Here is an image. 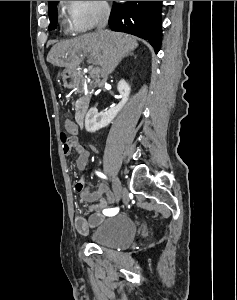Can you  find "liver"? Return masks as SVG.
Masks as SVG:
<instances>
[{"label":"liver","mask_w":237,"mask_h":300,"mask_svg":"<svg viewBox=\"0 0 237 300\" xmlns=\"http://www.w3.org/2000/svg\"><path fill=\"white\" fill-rule=\"evenodd\" d=\"M138 47L135 37L103 31L87 33L69 41L53 45L47 55L48 63L74 71L82 63L85 55H90V63L100 65V75H110L127 53Z\"/></svg>","instance_id":"1"}]
</instances>
